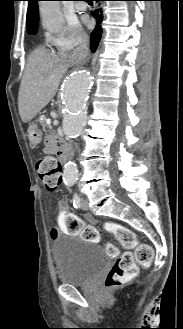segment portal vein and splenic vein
<instances>
[{"label":"portal vein and splenic vein","instance_id":"obj_1","mask_svg":"<svg viewBox=\"0 0 183 329\" xmlns=\"http://www.w3.org/2000/svg\"><path fill=\"white\" fill-rule=\"evenodd\" d=\"M46 123H47V125H50L51 124V120L50 119H47L46 120Z\"/></svg>","mask_w":183,"mask_h":329}]
</instances>
